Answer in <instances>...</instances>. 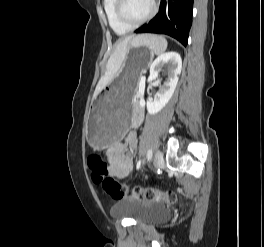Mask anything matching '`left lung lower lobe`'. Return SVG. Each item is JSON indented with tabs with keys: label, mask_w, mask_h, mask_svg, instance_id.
<instances>
[{
	"label": "left lung lower lobe",
	"mask_w": 264,
	"mask_h": 247,
	"mask_svg": "<svg viewBox=\"0 0 264 247\" xmlns=\"http://www.w3.org/2000/svg\"><path fill=\"white\" fill-rule=\"evenodd\" d=\"M192 10L193 0H161L157 15L135 33L166 34L186 46L192 25Z\"/></svg>",
	"instance_id": "1"
}]
</instances>
